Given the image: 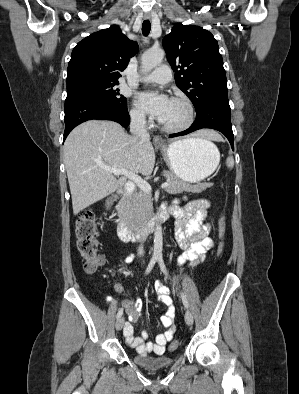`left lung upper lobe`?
<instances>
[{
	"label": "left lung upper lobe",
	"instance_id": "5c2ea615",
	"mask_svg": "<svg viewBox=\"0 0 299 394\" xmlns=\"http://www.w3.org/2000/svg\"><path fill=\"white\" fill-rule=\"evenodd\" d=\"M175 82L195 109L207 100L227 96L222 56L213 35L199 26L177 23L163 39Z\"/></svg>",
	"mask_w": 299,
	"mask_h": 394
}]
</instances>
